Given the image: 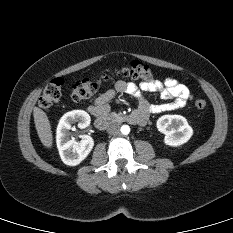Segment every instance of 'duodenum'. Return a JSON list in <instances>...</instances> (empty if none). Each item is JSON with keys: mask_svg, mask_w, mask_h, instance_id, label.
<instances>
[{"mask_svg": "<svg viewBox=\"0 0 233 233\" xmlns=\"http://www.w3.org/2000/svg\"><path fill=\"white\" fill-rule=\"evenodd\" d=\"M114 117L101 114L96 116L95 125L98 129H106L113 121ZM147 116L139 111L131 113L127 120L132 124L143 125L146 123Z\"/></svg>", "mask_w": 233, "mask_h": 233, "instance_id": "410a0bca", "label": "duodenum"}]
</instances>
